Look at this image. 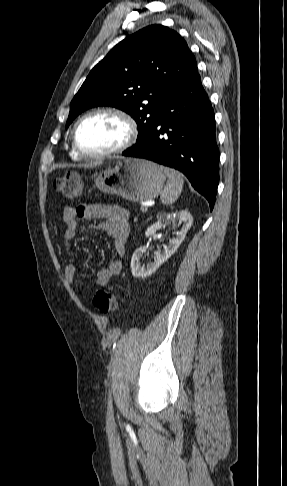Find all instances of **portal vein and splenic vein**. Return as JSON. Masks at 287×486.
Wrapping results in <instances>:
<instances>
[{"mask_svg": "<svg viewBox=\"0 0 287 486\" xmlns=\"http://www.w3.org/2000/svg\"><path fill=\"white\" fill-rule=\"evenodd\" d=\"M140 210H141L142 212H147V210H148L147 205L142 206Z\"/></svg>", "mask_w": 287, "mask_h": 486, "instance_id": "1", "label": "portal vein and splenic vein"}]
</instances>
